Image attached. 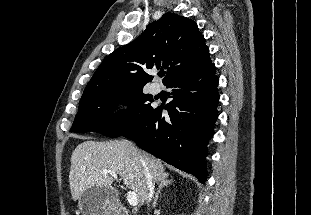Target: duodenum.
Returning <instances> with one entry per match:
<instances>
[{"label":"duodenum","mask_w":311,"mask_h":215,"mask_svg":"<svg viewBox=\"0 0 311 215\" xmlns=\"http://www.w3.org/2000/svg\"><path fill=\"white\" fill-rule=\"evenodd\" d=\"M117 212H118V215H128L127 210H125L124 208H119Z\"/></svg>","instance_id":"obj_1"}]
</instances>
